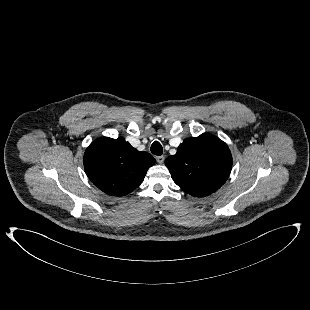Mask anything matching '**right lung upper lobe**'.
<instances>
[{"label":"right lung upper lobe","instance_id":"obj_1","mask_svg":"<svg viewBox=\"0 0 310 310\" xmlns=\"http://www.w3.org/2000/svg\"><path fill=\"white\" fill-rule=\"evenodd\" d=\"M83 162L94 185L106 194L122 196L141 184L155 159L133 148L124 138L101 137L88 146Z\"/></svg>","mask_w":310,"mask_h":310}]
</instances>
